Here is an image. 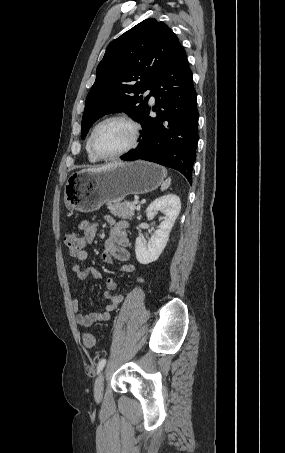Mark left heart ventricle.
Segmentation results:
<instances>
[{
    "instance_id": "left-heart-ventricle-1",
    "label": "left heart ventricle",
    "mask_w": 285,
    "mask_h": 453,
    "mask_svg": "<svg viewBox=\"0 0 285 453\" xmlns=\"http://www.w3.org/2000/svg\"><path fill=\"white\" fill-rule=\"evenodd\" d=\"M132 128L121 120L103 124L95 136L96 150L103 155H111L126 148L132 140Z\"/></svg>"
}]
</instances>
